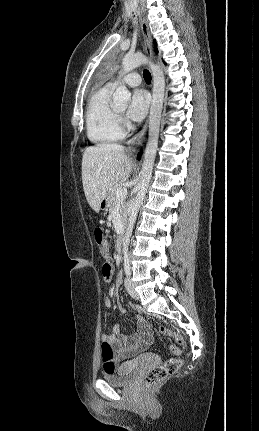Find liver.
Instances as JSON below:
<instances>
[{"mask_svg": "<svg viewBox=\"0 0 259 431\" xmlns=\"http://www.w3.org/2000/svg\"><path fill=\"white\" fill-rule=\"evenodd\" d=\"M131 171V160L122 145L87 147L82 158V183L90 207L98 212L100 202L119 181H126Z\"/></svg>", "mask_w": 259, "mask_h": 431, "instance_id": "liver-1", "label": "liver"}]
</instances>
